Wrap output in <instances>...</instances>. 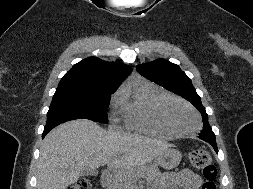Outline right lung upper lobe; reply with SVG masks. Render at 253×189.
I'll list each match as a JSON object with an SVG mask.
<instances>
[{"label":"right lung upper lobe","mask_w":253,"mask_h":189,"mask_svg":"<svg viewBox=\"0 0 253 189\" xmlns=\"http://www.w3.org/2000/svg\"><path fill=\"white\" fill-rule=\"evenodd\" d=\"M131 72L132 68L126 64L89 57L75 64L62 77L57 89H117Z\"/></svg>","instance_id":"obj_1"}]
</instances>
